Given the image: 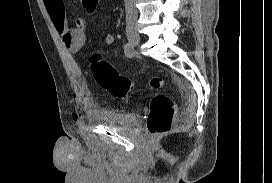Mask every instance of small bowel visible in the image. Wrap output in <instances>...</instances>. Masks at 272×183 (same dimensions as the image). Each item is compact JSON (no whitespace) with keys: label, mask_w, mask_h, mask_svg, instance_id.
Masks as SVG:
<instances>
[{"label":"small bowel","mask_w":272,"mask_h":183,"mask_svg":"<svg viewBox=\"0 0 272 183\" xmlns=\"http://www.w3.org/2000/svg\"><path fill=\"white\" fill-rule=\"evenodd\" d=\"M47 12L56 28L61 35L64 45L72 53L82 49L86 41L87 24L84 19L77 18L75 26H71L66 17L64 0H43ZM115 41L113 34H106L104 43L112 45ZM75 122L82 120L80 112H74L72 116Z\"/></svg>","instance_id":"obj_1"}]
</instances>
